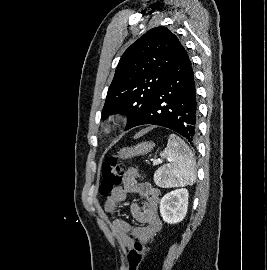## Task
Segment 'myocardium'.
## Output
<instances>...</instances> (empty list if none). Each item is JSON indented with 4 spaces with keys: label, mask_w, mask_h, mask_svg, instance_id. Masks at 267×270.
<instances>
[{
    "label": "myocardium",
    "mask_w": 267,
    "mask_h": 270,
    "mask_svg": "<svg viewBox=\"0 0 267 270\" xmlns=\"http://www.w3.org/2000/svg\"><path fill=\"white\" fill-rule=\"evenodd\" d=\"M124 117L121 114H117L114 117L106 120L101 125L100 135L104 138L112 136L122 125Z\"/></svg>",
    "instance_id": "f54148a6"
}]
</instances>
